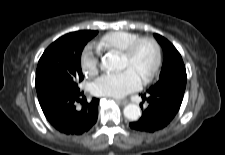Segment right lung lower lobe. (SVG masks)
<instances>
[{
    "instance_id": "98d812e1",
    "label": "right lung lower lobe",
    "mask_w": 225,
    "mask_h": 155,
    "mask_svg": "<svg viewBox=\"0 0 225 155\" xmlns=\"http://www.w3.org/2000/svg\"><path fill=\"white\" fill-rule=\"evenodd\" d=\"M83 92H60L40 103L47 120L58 131L81 135L87 132L97 120L99 99L84 102ZM82 104L77 110L76 104Z\"/></svg>"
}]
</instances>
